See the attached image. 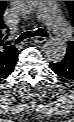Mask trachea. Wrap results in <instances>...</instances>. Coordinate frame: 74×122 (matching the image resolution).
<instances>
[{
	"mask_svg": "<svg viewBox=\"0 0 74 122\" xmlns=\"http://www.w3.org/2000/svg\"><path fill=\"white\" fill-rule=\"evenodd\" d=\"M34 35L36 36H40V37H48V33L46 32V30L39 28L37 30H35L34 32L32 31H26L23 34H21L15 41V44L20 43L21 41L33 37Z\"/></svg>",
	"mask_w": 74,
	"mask_h": 122,
	"instance_id": "trachea-1",
	"label": "trachea"
}]
</instances>
